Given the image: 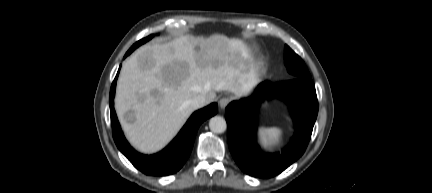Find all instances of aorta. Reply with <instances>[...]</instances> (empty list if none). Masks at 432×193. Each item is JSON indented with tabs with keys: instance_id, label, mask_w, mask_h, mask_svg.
<instances>
[{
	"instance_id": "762f6f07",
	"label": "aorta",
	"mask_w": 432,
	"mask_h": 193,
	"mask_svg": "<svg viewBox=\"0 0 432 193\" xmlns=\"http://www.w3.org/2000/svg\"><path fill=\"white\" fill-rule=\"evenodd\" d=\"M209 128L214 133H223L227 129L226 120L221 116H214L209 121Z\"/></svg>"
}]
</instances>
